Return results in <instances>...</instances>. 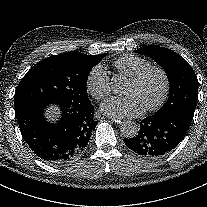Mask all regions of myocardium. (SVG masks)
<instances>
[{"label":"myocardium","mask_w":207,"mask_h":207,"mask_svg":"<svg viewBox=\"0 0 207 207\" xmlns=\"http://www.w3.org/2000/svg\"><path fill=\"white\" fill-rule=\"evenodd\" d=\"M152 72H157L163 79V91L160 96V98L157 100V102L146 109H144L143 113L148 114L157 111L160 109L163 104L166 102L169 92H170V87H171V81H170V76L168 72L160 67V66H149L139 72L137 75L133 76L132 78L129 79V82L132 84H140L150 73Z\"/></svg>","instance_id":"1"}]
</instances>
